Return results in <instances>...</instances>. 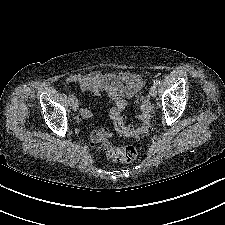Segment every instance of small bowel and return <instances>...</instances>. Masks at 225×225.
I'll return each instance as SVG.
<instances>
[{"mask_svg":"<svg viewBox=\"0 0 225 225\" xmlns=\"http://www.w3.org/2000/svg\"><path fill=\"white\" fill-rule=\"evenodd\" d=\"M65 83L77 85L96 96L106 93L115 105L111 109V115L113 111L124 109L126 101L136 96L144 85L140 75L128 71L76 73L67 77ZM90 116L91 111L84 108L79 112L77 119L81 121Z\"/></svg>","mask_w":225,"mask_h":225,"instance_id":"obj_1","label":"small bowel"}]
</instances>
